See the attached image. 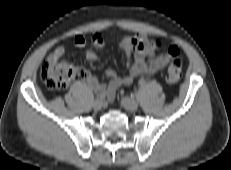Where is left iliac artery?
<instances>
[{
	"instance_id": "obj_1",
	"label": "left iliac artery",
	"mask_w": 231,
	"mask_h": 170,
	"mask_svg": "<svg viewBox=\"0 0 231 170\" xmlns=\"http://www.w3.org/2000/svg\"><path fill=\"white\" fill-rule=\"evenodd\" d=\"M139 84H140L141 86H143V85L145 84V81H144V80H140V81H139Z\"/></svg>"
}]
</instances>
